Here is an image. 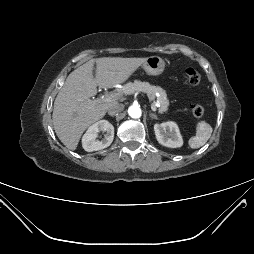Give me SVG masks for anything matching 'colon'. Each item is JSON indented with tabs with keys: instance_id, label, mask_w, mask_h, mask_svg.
Wrapping results in <instances>:
<instances>
[{
	"instance_id": "obj_1",
	"label": "colon",
	"mask_w": 254,
	"mask_h": 254,
	"mask_svg": "<svg viewBox=\"0 0 254 254\" xmlns=\"http://www.w3.org/2000/svg\"><path fill=\"white\" fill-rule=\"evenodd\" d=\"M185 77L188 83L192 86H197L201 81L200 74L192 67H188L185 69ZM193 115L200 119L204 115V108L201 104H194L192 108Z\"/></svg>"
}]
</instances>
